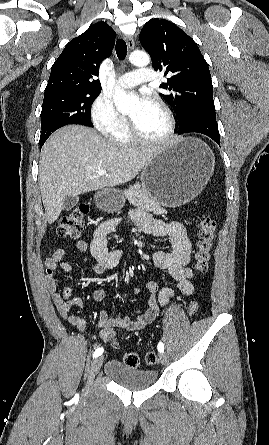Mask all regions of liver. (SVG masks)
Segmentation results:
<instances>
[{
  "label": "liver",
  "mask_w": 269,
  "mask_h": 445,
  "mask_svg": "<svg viewBox=\"0 0 269 445\" xmlns=\"http://www.w3.org/2000/svg\"><path fill=\"white\" fill-rule=\"evenodd\" d=\"M163 148L110 142L81 125L59 129L44 144L39 161L40 192L48 223L59 217L65 196L127 183ZM100 169L107 175L98 176Z\"/></svg>",
  "instance_id": "6515ba94"
}]
</instances>
